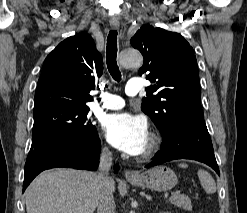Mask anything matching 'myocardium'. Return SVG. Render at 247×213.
<instances>
[{
    "label": "myocardium",
    "mask_w": 247,
    "mask_h": 213,
    "mask_svg": "<svg viewBox=\"0 0 247 213\" xmlns=\"http://www.w3.org/2000/svg\"><path fill=\"white\" fill-rule=\"evenodd\" d=\"M149 142L146 150L139 156L140 161L151 160L161 148V137L156 133H151L149 135Z\"/></svg>",
    "instance_id": "f54148a6"
}]
</instances>
